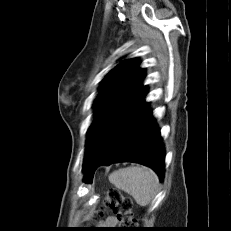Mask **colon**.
I'll return each mask as SVG.
<instances>
[{"label": "colon", "instance_id": "colon-1", "mask_svg": "<svg viewBox=\"0 0 231 231\" xmlns=\"http://www.w3.org/2000/svg\"><path fill=\"white\" fill-rule=\"evenodd\" d=\"M103 209H111L117 220L124 226L135 223L132 211L133 202L118 189L110 188L105 192Z\"/></svg>", "mask_w": 231, "mask_h": 231}]
</instances>
